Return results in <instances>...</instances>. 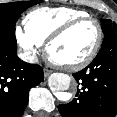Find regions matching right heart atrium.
I'll list each match as a JSON object with an SVG mask.
<instances>
[{"mask_svg":"<svg viewBox=\"0 0 117 117\" xmlns=\"http://www.w3.org/2000/svg\"><path fill=\"white\" fill-rule=\"evenodd\" d=\"M15 38L28 59H34L38 54L39 43L32 39L20 26L15 28Z\"/></svg>","mask_w":117,"mask_h":117,"instance_id":"right-heart-atrium-1","label":"right heart atrium"}]
</instances>
